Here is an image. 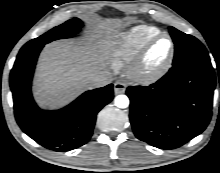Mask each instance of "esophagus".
<instances>
[{
  "label": "esophagus",
  "instance_id": "obj_1",
  "mask_svg": "<svg viewBox=\"0 0 220 173\" xmlns=\"http://www.w3.org/2000/svg\"><path fill=\"white\" fill-rule=\"evenodd\" d=\"M126 91V84L120 81L115 82L114 84V93L116 95L125 93Z\"/></svg>",
  "mask_w": 220,
  "mask_h": 173
}]
</instances>
